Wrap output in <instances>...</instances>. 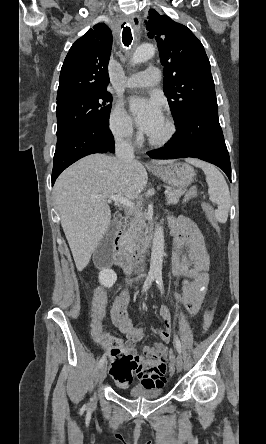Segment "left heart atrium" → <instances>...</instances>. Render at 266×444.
<instances>
[{
  "mask_svg": "<svg viewBox=\"0 0 266 444\" xmlns=\"http://www.w3.org/2000/svg\"><path fill=\"white\" fill-rule=\"evenodd\" d=\"M130 108L137 125L148 135L163 121L161 106L156 99L133 98L130 102Z\"/></svg>",
  "mask_w": 266,
  "mask_h": 444,
  "instance_id": "obj_1",
  "label": "left heart atrium"
}]
</instances>
